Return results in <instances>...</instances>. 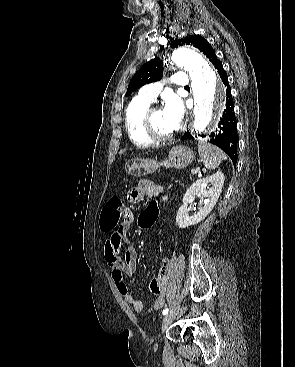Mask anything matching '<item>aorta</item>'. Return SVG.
Masks as SVG:
<instances>
[{
	"instance_id": "1",
	"label": "aorta",
	"mask_w": 295,
	"mask_h": 367,
	"mask_svg": "<svg viewBox=\"0 0 295 367\" xmlns=\"http://www.w3.org/2000/svg\"><path fill=\"white\" fill-rule=\"evenodd\" d=\"M171 60L189 72L195 103L193 127L196 133H202L224 105L220 78L210 63L191 49H177Z\"/></svg>"
}]
</instances>
